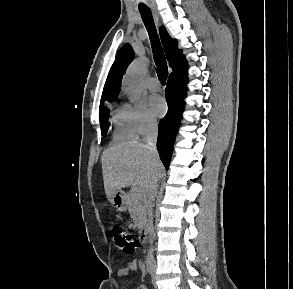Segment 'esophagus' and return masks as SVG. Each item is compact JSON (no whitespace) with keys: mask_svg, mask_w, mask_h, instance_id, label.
<instances>
[{"mask_svg":"<svg viewBox=\"0 0 293 289\" xmlns=\"http://www.w3.org/2000/svg\"><path fill=\"white\" fill-rule=\"evenodd\" d=\"M152 13H153L155 20L158 22V13H157L156 8H152Z\"/></svg>","mask_w":293,"mask_h":289,"instance_id":"obj_1","label":"esophagus"}]
</instances>
